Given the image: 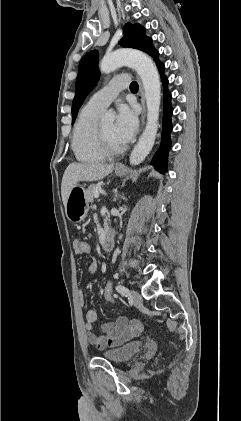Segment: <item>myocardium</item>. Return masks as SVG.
<instances>
[{
    "label": "myocardium",
    "instance_id": "myocardium-1",
    "mask_svg": "<svg viewBox=\"0 0 241 421\" xmlns=\"http://www.w3.org/2000/svg\"><path fill=\"white\" fill-rule=\"evenodd\" d=\"M97 137H98V142H99V145H100L102 151L107 156L119 155V154H121L125 151V147L123 145L120 146V147L113 146L108 141V139L106 138V136L104 135V133H103V131L101 130L100 127L97 128Z\"/></svg>",
    "mask_w": 241,
    "mask_h": 421
}]
</instances>
